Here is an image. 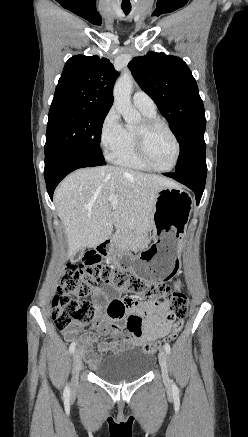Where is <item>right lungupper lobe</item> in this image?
I'll use <instances>...</instances> for the list:
<instances>
[{"label": "right lung upper lobe", "instance_id": "1", "mask_svg": "<svg viewBox=\"0 0 248 437\" xmlns=\"http://www.w3.org/2000/svg\"><path fill=\"white\" fill-rule=\"evenodd\" d=\"M118 73L108 59L76 55L70 58L58 81L52 104H68L109 112Z\"/></svg>", "mask_w": 248, "mask_h": 437}]
</instances>
